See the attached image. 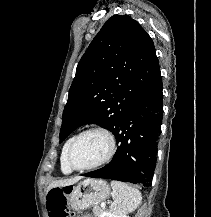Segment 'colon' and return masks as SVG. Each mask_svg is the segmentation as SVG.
Masks as SVG:
<instances>
[{
    "mask_svg": "<svg viewBox=\"0 0 211 217\" xmlns=\"http://www.w3.org/2000/svg\"><path fill=\"white\" fill-rule=\"evenodd\" d=\"M66 191L54 188L47 196V209L49 217H68Z\"/></svg>",
    "mask_w": 211,
    "mask_h": 217,
    "instance_id": "5ec220e1",
    "label": "colon"
}]
</instances>
